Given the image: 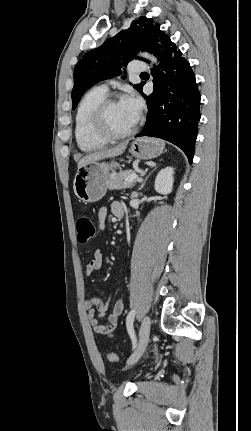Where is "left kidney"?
<instances>
[{
	"label": "left kidney",
	"mask_w": 251,
	"mask_h": 431,
	"mask_svg": "<svg viewBox=\"0 0 251 431\" xmlns=\"http://www.w3.org/2000/svg\"><path fill=\"white\" fill-rule=\"evenodd\" d=\"M173 174V167H166L158 173L154 185L156 192L163 195H167L172 192L174 182Z\"/></svg>",
	"instance_id": "5707ae66"
}]
</instances>
